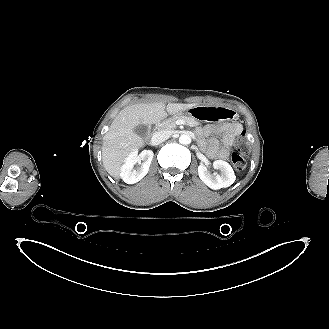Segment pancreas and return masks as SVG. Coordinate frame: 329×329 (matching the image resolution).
Returning a JSON list of instances; mask_svg holds the SVG:
<instances>
[{
    "instance_id": "1",
    "label": "pancreas",
    "mask_w": 329,
    "mask_h": 329,
    "mask_svg": "<svg viewBox=\"0 0 329 329\" xmlns=\"http://www.w3.org/2000/svg\"><path fill=\"white\" fill-rule=\"evenodd\" d=\"M177 121H183L185 124L190 125V126H194L197 124L196 120L190 116H186V115H176L173 116L165 121H163L160 125L161 128L163 129H175L177 127Z\"/></svg>"
}]
</instances>
